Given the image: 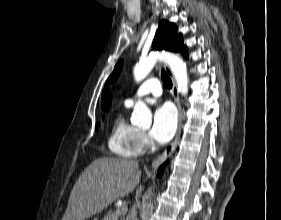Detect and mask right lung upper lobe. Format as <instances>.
Listing matches in <instances>:
<instances>
[{
  "instance_id": "right-lung-upper-lobe-1",
  "label": "right lung upper lobe",
  "mask_w": 281,
  "mask_h": 220,
  "mask_svg": "<svg viewBox=\"0 0 281 220\" xmlns=\"http://www.w3.org/2000/svg\"><path fill=\"white\" fill-rule=\"evenodd\" d=\"M111 105V95L109 90H104L102 93V108L108 110Z\"/></svg>"
}]
</instances>
